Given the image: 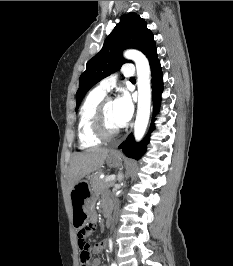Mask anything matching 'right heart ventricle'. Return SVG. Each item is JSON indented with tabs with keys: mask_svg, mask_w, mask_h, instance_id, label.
<instances>
[{
	"mask_svg": "<svg viewBox=\"0 0 233 266\" xmlns=\"http://www.w3.org/2000/svg\"><path fill=\"white\" fill-rule=\"evenodd\" d=\"M104 97L105 93L95 88L87 94L80 107L77 131L82 148H92L101 143V140L92 132V118L96 106Z\"/></svg>",
	"mask_w": 233,
	"mask_h": 266,
	"instance_id": "1",
	"label": "right heart ventricle"
}]
</instances>
